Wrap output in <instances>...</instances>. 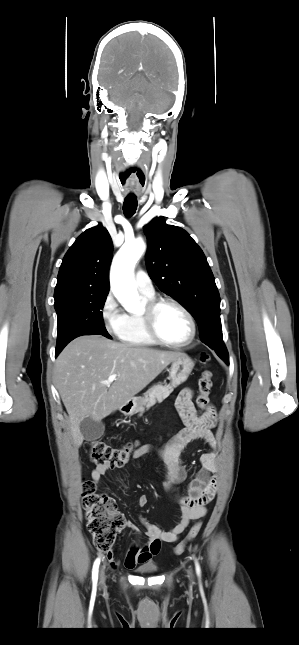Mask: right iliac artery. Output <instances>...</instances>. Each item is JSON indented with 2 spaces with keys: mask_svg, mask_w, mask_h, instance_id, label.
<instances>
[{
  "mask_svg": "<svg viewBox=\"0 0 299 645\" xmlns=\"http://www.w3.org/2000/svg\"><path fill=\"white\" fill-rule=\"evenodd\" d=\"M99 564H100V558H97L94 562L93 569H92V580L94 585H96L98 580Z\"/></svg>",
  "mask_w": 299,
  "mask_h": 645,
  "instance_id": "right-iliac-artery-1",
  "label": "right iliac artery"
}]
</instances>
